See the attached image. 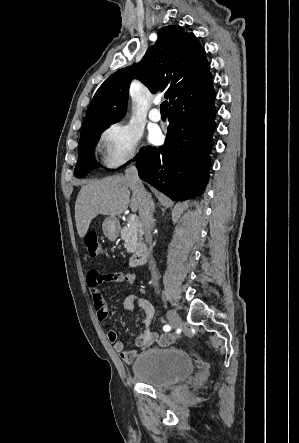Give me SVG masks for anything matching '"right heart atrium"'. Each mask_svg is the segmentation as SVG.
<instances>
[{
    "label": "right heart atrium",
    "instance_id": "d8ad5b80",
    "mask_svg": "<svg viewBox=\"0 0 299 443\" xmlns=\"http://www.w3.org/2000/svg\"><path fill=\"white\" fill-rule=\"evenodd\" d=\"M140 131L129 122H116L106 127L100 136L104 163L115 168L136 158Z\"/></svg>",
    "mask_w": 299,
    "mask_h": 443
}]
</instances>
